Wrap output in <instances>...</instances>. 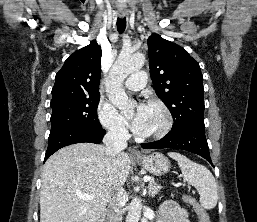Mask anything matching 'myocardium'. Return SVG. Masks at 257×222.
Masks as SVG:
<instances>
[{"instance_id":"obj_1","label":"myocardium","mask_w":257,"mask_h":222,"mask_svg":"<svg viewBox=\"0 0 257 222\" xmlns=\"http://www.w3.org/2000/svg\"><path fill=\"white\" fill-rule=\"evenodd\" d=\"M149 105L156 107L160 110L162 114V121L158 128H156L155 130L149 133H146L144 137L148 139H161L164 136H166L172 128V125H173L172 113L168 108V106L160 99H157V98L151 99L149 101Z\"/></svg>"}]
</instances>
